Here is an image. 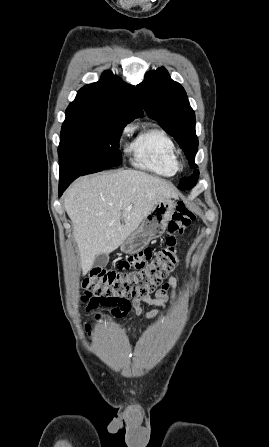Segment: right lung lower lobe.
Wrapping results in <instances>:
<instances>
[{
    "label": "right lung lower lobe",
    "mask_w": 269,
    "mask_h": 447,
    "mask_svg": "<svg viewBox=\"0 0 269 447\" xmlns=\"http://www.w3.org/2000/svg\"><path fill=\"white\" fill-rule=\"evenodd\" d=\"M60 165V182H59V196L69 184L79 176L102 171V169L91 168L84 164L74 162H59Z\"/></svg>",
    "instance_id": "1"
}]
</instances>
